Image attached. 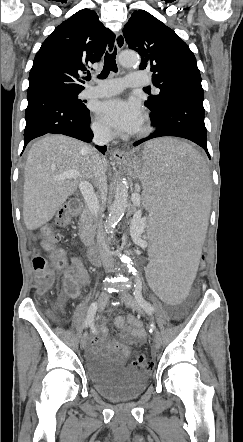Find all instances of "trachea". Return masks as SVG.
I'll list each match as a JSON object with an SVG mask.
<instances>
[{
    "mask_svg": "<svg viewBox=\"0 0 243 442\" xmlns=\"http://www.w3.org/2000/svg\"><path fill=\"white\" fill-rule=\"evenodd\" d=\"M116 54H117L116 48L114 49V51L112 53L106 52V54L104 56V67H103L101 74L98 76V78L105 79L108 77L110 71L115 72V73L118 71L117 64H116ZM90 79H91V77L89 76L87 78V80H90ZM144 89H147V88H144ZM147 90H149V89H147Z\"/></svg>",
    "mask_w": 243,
    "mask_h": 442,
    "instance_id": "3493384b",
    "label": "trachea"
}]
</instances>
